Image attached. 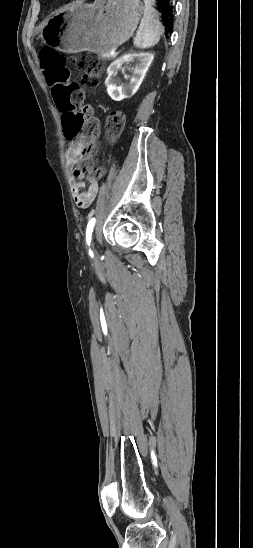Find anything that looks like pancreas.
<instances>
[{
  "label": "pancreas",
  "mask_w": 253,
  "mask_h": 548,
  "mask_svg": "<svg viewBox=\"0 0 253 548\" xmlns=\"http://www.w3.org/2000/svg\"><path fill=\"white\" fill-rule=\"evenodd\" d=\"M100 57L105 60H110L113 58V56L110 53L102 54L100 55Z\"/></svg>",
  "instance_id": "1"
}]
</instances>
